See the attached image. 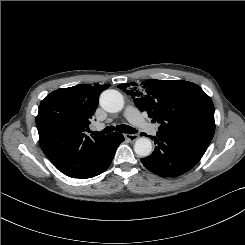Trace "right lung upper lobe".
Here are the masks:
<instances>
[{
  "mask_svg": "<svg viewBox=\"0 0 245 245\" xmlns=\"http://www.w3.org/2000/svg\"><path fill=\"white\" fill-rule=\"evenodd\" d=\"M109 86L80 84L61 88L39 105V144L51 163L67 176L87 169L105 143L108 135L89 138L84 132L97 109L100 93Z\"/></svg>",
  "mask_w": 245,
  "mask_h": 245,
  "instance_id": "obj_1",
  "label": "right lung upper lobe"
}]
</instances>
